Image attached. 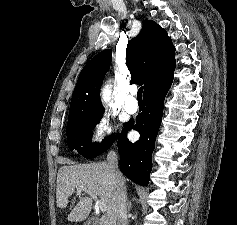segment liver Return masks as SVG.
I'll use <instances>...</instances> for the list:
<instances>
[{
  "mask_svg": "<svg viewBox=\"0 0 237 225\" xmlns=\"http://www.w3.org/2000/svg\"><path fill=\"white\" fill-rule=\"evenodd\" d=\"M79 187L90 190L106 205V213L98 220V225H117L116 181L108 163L62 166L57 174V206L67 207L69 197ZM92 202L90 197H80V201L68 215L67 220L70 222L86 220L90 214Z\"/></svg>",
  "mask_w": 237,
  "mask_h": 225,
  "instance_id": "6515ba94",
  "label": "liver"
}]
</instances>
